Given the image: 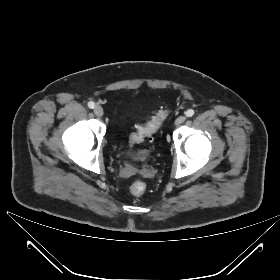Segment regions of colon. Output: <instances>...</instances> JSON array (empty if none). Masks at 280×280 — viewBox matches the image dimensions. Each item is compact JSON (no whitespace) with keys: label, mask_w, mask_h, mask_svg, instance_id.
<instances>
[{"label":"colon","mask_w":280,"mask_h":280,"mask_svg":"<svg viewBox=\"0 0 280 280\" xmlns=\"http://www.w3.org/2000/svg\"><path fill=\"white\" fill-rule=\"evenodd\" d=\"M169 115L167 108L159 109L153 118L145 125L138 126L136 131L131 134L129 140L131 144L139 143L146 138L151 139L161 122ZM146 191V183L142 180H135L130 185V192L134 196H141Z\"/></svg>","instance_id":"5ec220e1"}]
</instances>
